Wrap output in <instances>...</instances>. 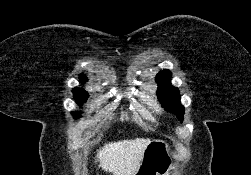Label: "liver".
<instances>
[{"instance_id":"liver-1","label":"liver","mask_w":251,"mask_h":175,"mask_svg":"<svg viewBox=\"0 0 251 175\" xmlns=\"http://www.w3.org/2000/svg\"><path fill=\"white\" fill-rule=\"evenodd\" d=\"M149 143L150 139L144 137L109 141L98 149L96 157L104 171L113 175H135Z\"/></svg>"}]
</instances>
